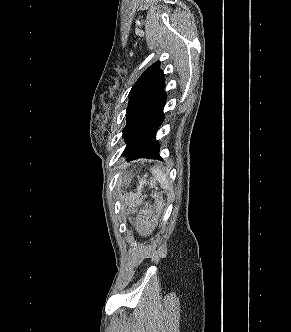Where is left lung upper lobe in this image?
<instances>
[{
  "mask_svg": "<svg viewBox=\"0 0 291 332\" xmlns=\"http://www.w3.org/2000/svg\"><path fill=\"white\" fill-rule=\"evenodd\" d=\"M157 61L147 68L129 93V103L126 110L127 125L123 130V137L129 143L139 129L140 119L149 101L157 97L165 87V78Z\"/></svg>",
  "mask_w": 291,
  "mask_h": 332,
  "instance_id": "left-lung-upper-lobe-1",
  "label": "left lung upper lobe"
}]
</instances>
